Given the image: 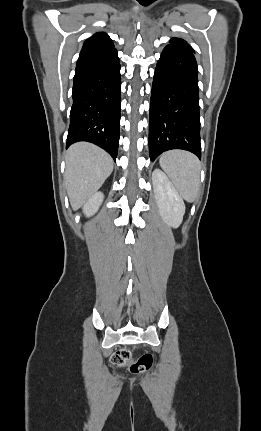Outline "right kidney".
<instances>
[{
  "mask_svg": "<svg viewBox=\"0 0 261 431\" xmlns=\"http://www.w3.org/2000/svg\"><path fill=\"white\" fill-rule=\"evenodd\" d=\"M103 199L104 195L102 192H96L88 199L83 207V213L86 215V217H90L98 211Z\"/></svg>",
  "mask_w": 261,
  "mask_h": 431,
  "instance_id": "ca27d5eb",
  "label": "right kidney"
}]
</instances>
